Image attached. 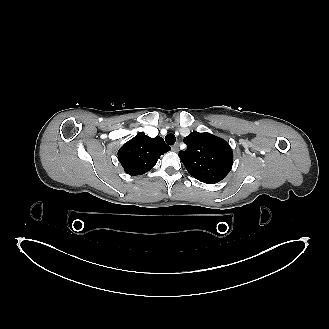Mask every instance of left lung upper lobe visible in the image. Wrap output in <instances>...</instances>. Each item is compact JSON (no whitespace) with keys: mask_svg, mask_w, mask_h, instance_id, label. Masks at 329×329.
Wrapping results in <instances>:
<instances>
[{"mask_svg":"<svg viewBox=\"0 0 329 329\" xmlns=\"http://www.w3.org/2000/svg\"><path fill=\"white\" fill-rule=\"evenodd\" d=\"M187 145L179 157L190 175L204 183L214 184L223 180L233 164L230 145L210 133L192 132L184 138Z\"/></svg>","mask_w":329,"mask_h":329,"instance_id":"left-lung-upper-lobe-1","label":"left lung upper lobe"}]
</instances>
